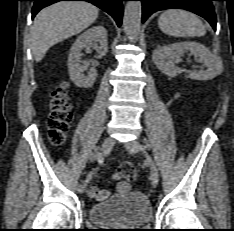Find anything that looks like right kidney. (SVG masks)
<instances>
[{
  "instance_id": "ca27d5eb",
  "label": "right kidney",
  "mask_w": 234,
  "mask_h": 231,
  "mask_svg": "<svg viewBox=\"0 0 234 231\" xmlns=\"http://www.w3.org/2000/svg\"><path fill=\"white\" fill-rule=\"evenodd\" d=\"M91 47L97 51L100 57L107 53V31L103 26H94L86 30L77 38L70 49L67 66L70 79L77 87L90 88L96 80V69L90 68L88 71L89 65L81 61V51L83 49L88 51ZM84 71H88V74L84 75Z\"/></svg>"
}]
</instances>
